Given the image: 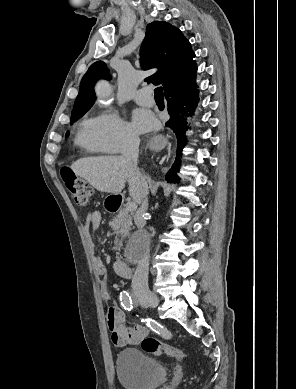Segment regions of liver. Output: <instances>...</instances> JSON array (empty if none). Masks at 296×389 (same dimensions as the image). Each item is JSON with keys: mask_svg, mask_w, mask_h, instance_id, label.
Segmentation results:
<instances>
[{"mask_svg": "<svg viewBox=\"0 0 296 389\" xmlns=\"http://www.w3.org/2000/svg\"><path fill=\"white\" fill-rule=\"evenodd\" d=\"M71 169L76 176L105 193L119 194L128 182L130 196L136 203L142 201V182L132 174L129 162L124 156L85 157L75 161Z\"/></svg>", "mask_w": 296, "mask_h": 389, "instance_id": "obj_1", "label": "liver"}]
</instances>
